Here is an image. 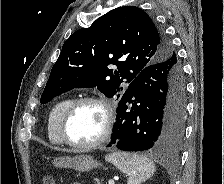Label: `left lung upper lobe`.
I'll use <instances>...</instances> for the list:
<instances>
[{
    "label": "left lung upper lobe",
    "instance_id": "1",
    "mask_svg": "<svg viewBox=\"0 0 224 184\" xmlns=\"http://www.w3.org/2000/svg\"><path fill=\"white\" fill-rule=\"evenodd\" d=\"M176 56L150 17L135 6L118 7L64 43L40 102L73 88L97 87L107 97L123 90L145 67ZM117 66L113 70L109 65ZM177 65H181L177 58ZM120 97V94L117 95Z\"/></svg>",
    "mask_w": 224,
    "mask_h": 184
}]
</instances>
